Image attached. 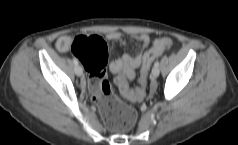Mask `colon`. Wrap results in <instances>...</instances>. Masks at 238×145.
I'll list each match as a JSON object with an SVG mask.
<instances>
[{"label": "colon", "instance_id": "1", "mask_svg": "<svg viewBox=\"0 0 238 145\" xmlns=\"http://www.w3.org/2000/svg\"><path fill=\"white\" fill-rule=\"evenodd\" d=\"M171 46V40L166 38L159 39L144 53L141 84L136 89L129 87L124 73L115 78L117 87L126 98L132 101L143 99L145 96L146 77L153 60ZM71 50L88 73L89 89L106 125L111 130L119 132L131 129L136 123L137 113L114 94L106 78L105 69L108 53L104 40L98 36H76L72 41Z\"/></svg>", "mask_w": 238, "mask_h": 145}]
</instances>
